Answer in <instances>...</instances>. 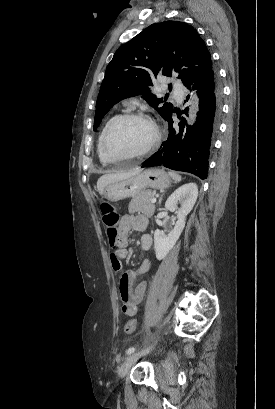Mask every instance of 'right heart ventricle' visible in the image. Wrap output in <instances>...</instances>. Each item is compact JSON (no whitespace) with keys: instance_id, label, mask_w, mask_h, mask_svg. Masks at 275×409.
<instances>
[{"instance_id":"obj_1","label":"right heart ventricle","mask_w":275,"mask_h":409,"mask_svg":"<svg viewBox=\"0 0 275 409\" xmlns=\"http://www.w3.org/2000/svg\"><path fill=\"white\" fill-rule=\"evenodd\" d=\"M115 118H116V117L110 118V119L104 124L103 128L101 129V132H100L99 137H98V143H97V151H98L99 157H102V155H101V145H102V141H103L104 135H105V133H106V131H107L109 125L111 124V122H112Z\"/></svg>"}]
</instances>
